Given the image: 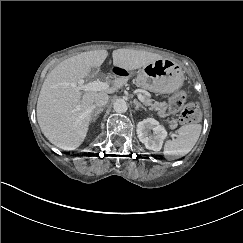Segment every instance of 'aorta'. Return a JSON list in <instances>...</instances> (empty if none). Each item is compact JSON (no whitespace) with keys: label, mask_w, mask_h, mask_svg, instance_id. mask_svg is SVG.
Here are the masks:
<instances>
[{"label":"aorta","mask_w":243,"mask_h":243,"mask_svg":"<svg viewBox=\"0 0 243 243\" xmlns=\"http://www.w3.org/2000/svg\"><path fill=\"white\" fill-rule=\"evenodd\" d=\"M113 108L117 113H125L128 109V106L124 99H117L113 104Z\"/></svg>","instance_id":"aorta-1"}]
</instances>
